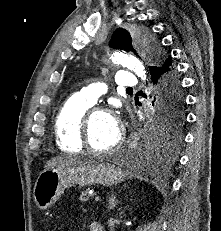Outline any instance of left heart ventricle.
Listing matches in <instances>:
<instances>
[{
  "label": "left heart ventricle",
  "mask_w": 221,
  "mask_h": 231,
  "mask_svg": "<svg viewBox=\"0 0 221 231\" xmlns=\"http://www.w3.org/2000/svg\"><path fill=\"white\" fill-rule=\"evenodd\" d=\"M119 127L115 119L106 113L96 114L90 127V141L94 148L105 149L116 141Z\"/></svg>",
  "instance_id": "b2bd125f"
}]
</instances>
